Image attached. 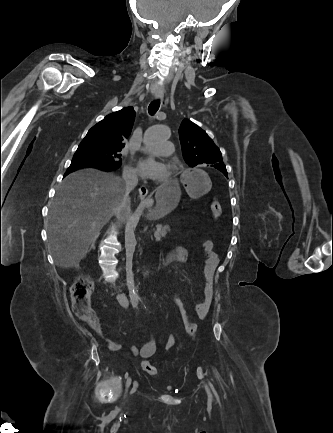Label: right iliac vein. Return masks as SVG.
Wrapping results in <instances>:
<instances>
[{"label":"right iliac vein","instance_id":"63e3f726","mask_svg":"<svg viewBox=\"0 0 333 433\" xmlns=\"http://www.w3.org/2000/svg\"><path fill=\"white\" fill-rule=\"evenodd\" d=\"M130 384H131V378L129 377V378L127 379V381H126V388H129ZM137 388H138V383H137V382H134V386H133V388H132V390H131V393L136 392Z\"/></svg>","mask_w":333,"mask_h":433}]
</instances>
